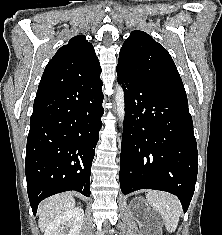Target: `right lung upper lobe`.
Segmentation results:
<instances>
[{
    "mask_svg": "<svg viewBox=\"0 0 222 235\" xmlns=\"http://www.w3.org/2000/svg\"><path fill=\"white\" fill-rule=\"evenodd\" d=\"M101 73L93 45L78 35L62 46L47 64L40 83L66 84Z\"/></svg>",
    "mask_w": 222,
    "mask_h": 235,
    "instance_id": "cb5924a9",
    "label": "right lung upper lobe"
}]
</instances>
